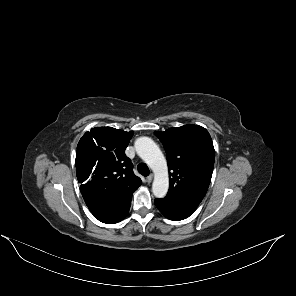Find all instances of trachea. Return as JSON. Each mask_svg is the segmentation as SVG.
Masks as SVG:
<instances>
[{
	"label": "trachea",
	"instance_id": "obj_1",
	"mask_svg": "<svg viewBox=\"0 0 296 296\" xmlns=\"http://www.w3.org/2000/svg\"><path fill=\"white\" fill-rule=\"evenodd\" d=\"M138 172L143 176H148L150 171L148 166L145 163H140L137 166Z\"/></svg>",
	"mask_w": 296,
	"mask_h": 296
}]
</instances>
